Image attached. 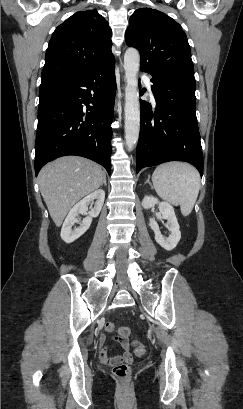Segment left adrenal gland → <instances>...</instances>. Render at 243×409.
<instances>
[{
  "instance_id": "1",
  "label": "left adrenal gland",
  "mask_w": 243,
  "mask_h": 409,
  "mask_svg": "<svg viewBox=\"0 0 243 409\" xmlns=\"http://www.w3.org/2000/svg\"><path fill=\"white\" fill-rule=\"evenodd\" d=\"M147 183L152 187V184H151V182H150V178H149V177H148V179L146 180L145 184H147Z\"/></svg>"
}]
</instances>
